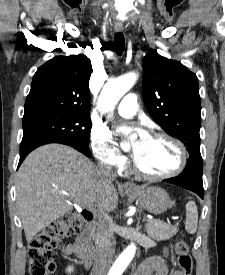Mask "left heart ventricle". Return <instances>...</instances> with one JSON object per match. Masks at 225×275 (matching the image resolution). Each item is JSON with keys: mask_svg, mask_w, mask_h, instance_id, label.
Instances as JSON below:
<instances>
[{"mask_svg": "<svg viewBox=\"0 0 225 275\" xmlns=\"http://www.w3.org/2000/svg\"><path fill=\"white\" fill-rule=\"evenodd\" d=\"M135 161L148 174H163L172 171L178 164V151L169 141L148 137L134 144Z\"/></svg>", "mask_w": 225, "mask_h": 275, "instance_id": "b2bd125f", "label": "left heart ventricle"}]
</instances>
